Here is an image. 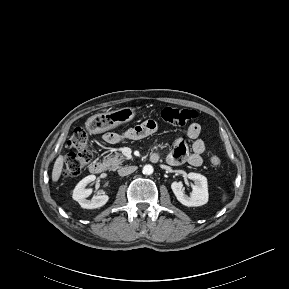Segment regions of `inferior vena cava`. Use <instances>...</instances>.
I'll list each match as a JSON object with an SVG mask.
<instances>
[{
    "mask_svg": "<svg viewBox=\"0 0 289 289\" xmlns=\"http://www.w3.org/2000/svg\"><path fill=\"white\" fill-rule=\"evenodd\" d=\"M136 169H137L136 166L122 167L118 170V174L120 176H126V175L133 173Z\"/></svg>",
    "mask_w": 289,
    "mask_h": 289,
    "instance_id": "inferior-vena-cava-1",
    "label": "inferior vena cava"
}]
</instances>
